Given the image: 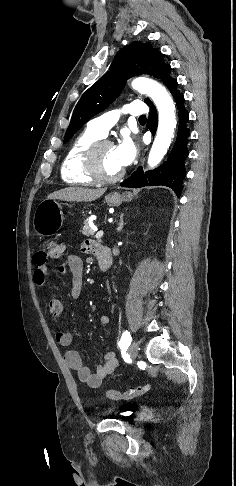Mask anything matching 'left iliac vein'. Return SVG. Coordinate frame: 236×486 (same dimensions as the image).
<instances>
[{"label":"left iliac vein","instance_id":"4c4485c4","mask_svg":"<svg viewBox=\"0 0 236 486\" xmlns=\"http://www.w3.org/2000/svg\"><path fill=\"white\" fill-rule=\"evenodd\" d=\"M128 353L132 359H136L138 355V343L133 341L128 348Z\"/></svg>","mask_w":236,"mask_h":486}]
</instances>
